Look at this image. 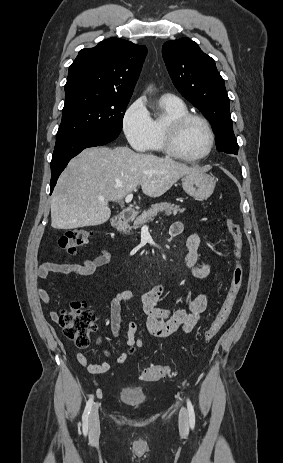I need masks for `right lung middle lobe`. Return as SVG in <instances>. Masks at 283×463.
Instances as JSON below:
<instances>
[{
	"mask_svg": "<svg viewBox=\"0 0 283 463\" xmlns=\"http://www.w3.org/2000/svg\"><path fill=\"white\" fill-rule=\"evenodd\" d=\"M130 98L81 91L65 97L56 141L84 133L118 136Z\"/></svg>",
	"mask_w": 283,
	"mask_h": 463,
	"instance_id": "right-lung-middle-lobe-1",
	"label": "right lung middle lobe"
}]
</instances>
